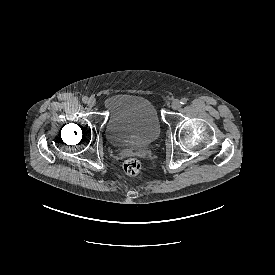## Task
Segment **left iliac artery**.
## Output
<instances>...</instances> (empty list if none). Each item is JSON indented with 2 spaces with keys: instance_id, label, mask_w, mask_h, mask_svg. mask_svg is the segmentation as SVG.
<instances>
[{
  "instance_id": "obj_1",
  "label": "left iliac artery",
  "mask_w": 275,
  "mask_h": 275,
  "mask_svg": "<svg viewBox=\"0 0 275 275\" xmlns=\"http://www.w3.org/2000/svg\"><path fill=\"white\" fill-rule=\"evenodd\" d=\"M180 103H181L182 105L186 104V103H187V99H186V98H182V99L180 100Z\"/></svg>"
}]
</instances>
